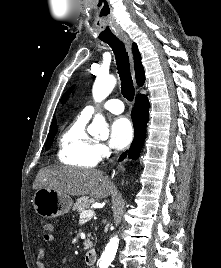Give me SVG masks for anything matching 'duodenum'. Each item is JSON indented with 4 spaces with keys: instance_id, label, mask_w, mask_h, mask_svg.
Listing matches in <instances>:
<instances>
[{
    "instance_id": "410a0bca",
    "label": "duodenum",
    "mask_w": 221,
    "mask_h": 268,
    "mask_svg": "<svg viewBox=\"0 0 221 268\" xmlns=\"http://www.w3.org/2000/svg\"><path fill=\"white\" fill-rule=\"evenodd\" d=\"M97 258H98V253L96 251V249H89L86 253V256H85V261H86V264L87 265H94L97 261Z\"/></svg>"
}]
</instances>
